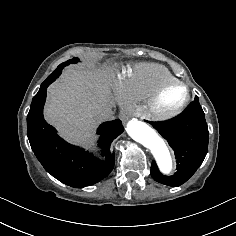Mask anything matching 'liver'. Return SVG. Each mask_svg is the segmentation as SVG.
Here are the masks:
<instances>
[{"mask_svg": "<svg viewBox=\"0 0 236 236\" xmlns=\"http://www.w3.org/2000/svg\"><path fill=\"white\" fill-rule=\"evenodd\" d=\"M106 76L105 70L93 72L74 65L48 87L45 120L68 142L85 147L94 145L91 137L103 121L97 111L113 105Z\"/></svg>", "mask_w": 236, "mask_h": 236, "instance_id": "1", "label": "liver"}]
</instances>
